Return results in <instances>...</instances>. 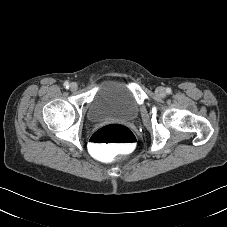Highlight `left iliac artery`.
I'll return each mask as SVG.
<instances>
[{
  "label": "left iliac artery",
  "instance_id": "left-iliac-artery-1",
  "mask_svg": "<svg viewBox=\"0 0 227 227\" xmlns=\"http://www.w3.org/2000/svg\"><path fill=\"white\" fill-rule=\"evenodd\" d=\"M166 92H167L168 94H171V92H172L171 88H166Z\"/></svg>",
  "mask_w": 227,
  "mask_h": 227
}]
</instances>
